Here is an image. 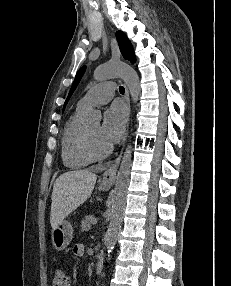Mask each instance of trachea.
I'll return each mask as SVG.
<instances>
[{
  "label": "trachea",
  "instance_id": "1",
  "mask_svg": "<svg viewBox=\"0 0 231 286\" xmlns=\"http://www.w3.org/2000/svg\"><path fill=\"white\" fill-rule=\"evenodd\" d=\"M119 92H120L121 94H124L125 89H124V87H123V86H120V87H119Z\"/></svg>",
  "mask_w": 231,
  "mask_h": 286
}]
</instances>
